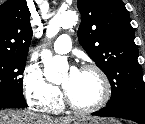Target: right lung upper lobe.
Here are the masks:
<instances>
[{
    "mask_svg": "<svg viewBox=\"0 0 145 124\" xmlns=\"http://www.w3.org/2000/svg\"><path fill=\"white\" fill-rule=\"evenodd\" d=\"M32 34L26 0L0 5V55L27 57Z\"/></svg>",
    "mask_w": 145,
    "mask_h": 124,
    "instance_id": "right-lung-upper-lobe-1",
    "label": "right lung upper lobe"
}]
</instances>
